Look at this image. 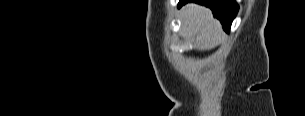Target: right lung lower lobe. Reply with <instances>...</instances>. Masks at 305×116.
<instances>
[{"instance_id":"1","label":"right lung lower lobe","mask_w":305,"mask_h":116,"mask_svg":"<svg viewBox=\"0 0 305 116\" xmlns=\"http://www.w3.org/2000/svg\"><path fill=\"white\" fill-rule=\"evenodd\" d=\"M188 2L209 7L213 11L214 17L220 20L223 29L227 32H229L231 23L239 9L235 0H180L178 7Z\"/></svg>"}]
</instances>
